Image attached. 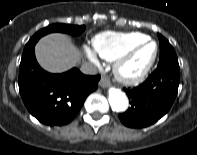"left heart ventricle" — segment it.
Here are the masks:
<instances>
[{
  "label": "left heart ventricle",
  "instance_id": "1",
  "mask_svg": "<svg viewBox=\"0 0 197 155\" xmlns=\"http://www.w3.org/2000/svg\"><path fill=\"white\" fill-rule=\"evenodd\" d=\"M154 51V46L152 44L146 45L141 48L128 62L127 70L131 72H136L144 67L150 60Z\"/></svg>",
  "mask_w": 197,
  "mask_h": 155
}]
</instances>
